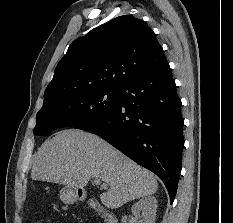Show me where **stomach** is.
<instances>
[{"instance_id": "0dacf381", "label": "stomach", "mask_w": 233, "mask_h": 223, "mask_svg": "<svg viewBox=\"0 0 233 223\" xmlns=\"http://www.w3.org/2000/svg\"><path fill=\"white\" fill-rule=\"evenodd\" d=\"M61 201L63 203H75V201H78L79 195H78V187H69V185H66V187H62L58 193Z\"/></svg>"}]
</instances>
